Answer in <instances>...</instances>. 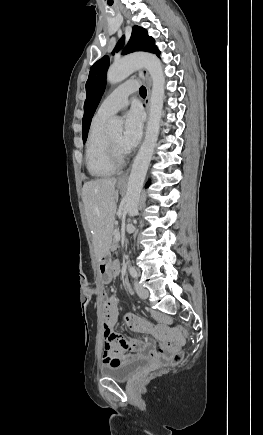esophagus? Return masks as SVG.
<instances>
[{
	"mask_svg": "<svg viewBox=\"0 0 263 435\" xmlns=\"http://www.w3.org/2000/svg\"><path fill=\"white\" fill-rule=\"evenodd\" d=\"M139 77L143 80V82L146 85L147 95H146L144 103H145L147 112L149 113L150 94H151V85H152L151 78L149 77L147 71H145V70L139 71ZM129 172H130V167L119 177V179H118L119 182L126 181L128 178Z\"/></svg>",
	"mask_w": 263,
	"mask_h": 435,
	"instance_id": "1",
	"label": "esophagus"
}]
</instances>
